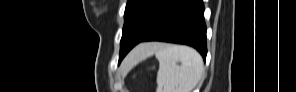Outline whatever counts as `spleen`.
Returning a JSON list of instances; mask_svg holds the SVG:
<instances>
[{"label": "spleen", "instance_id": "spleen-1", "mask_svg": "<svg viewBox=\"0 0 296 92\" xmlns=\"http://www.w3.org/2000/svg\"><path fill=\"white\" fill-rule=\"evenodd\" d=\"M147 45L139 56L147 58L154 53L159 61L157 92H192L204 72L200 54L187 46L162 43Z\"/></svg>", "mask_w": 296, "mask_h": 92}]
</instances>
